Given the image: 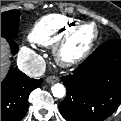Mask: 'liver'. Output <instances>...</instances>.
Here are the masks:
<instances>
[{"label":"liver","instance_id":"liver-1","mask_svg":"<svg viewBox=\"0 0 121 121\" xmlns=\"http://www.w3.org/2000/svg\"><path fill=\"white\" fill-rule=\"evenodd\" d=\"M9 65V48L6 41L1 38V80L6 74Z\"/></svg>","mask_w":121,"mask_h":121}]
</instances>
